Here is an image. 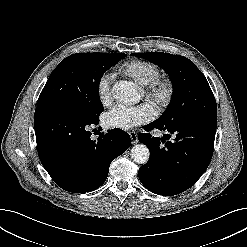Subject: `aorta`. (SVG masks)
Segmentation results:
<instances>
[{
  "label": "aorta",
  "instance_id": "obj_1",
  "mask_svg": "<svg viewBox=\"0 0 247 247\" xmlns=\"http://www.w3.org/2000/svg\"><path fill=\"white\" fill-rule=\"evenodd\" d=\"M112 94L117 101L125 104L137 102L140 98L137 89L133 85L125 82H117L114 84ZM130 155L134 162L145 164L149 160L150 151L146 145L137 144L132 147Z\"/></svg>",
  "mask_w": 247,
  "mask_h": 247
}]
</instances>
